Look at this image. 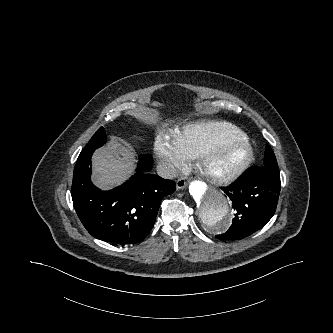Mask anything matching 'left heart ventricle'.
<instances>
[{
  "mask_svg": "<svg viewBox=\"0 0 333 333\" xmlns=\"http://www.w3.org/2000/svg\"><path fill=\"white\" fill-rule=\"evenodd\" d=\"M243 155V148L235 143L223 147L212 159L211 168L214 171H225L236 164Z\"/></svg>",
  "mask_w": 333,
  "mask_h": 333,
  "instance_id": "obj_1",
  "label": "left heart ventricle"
}]
</instances>
